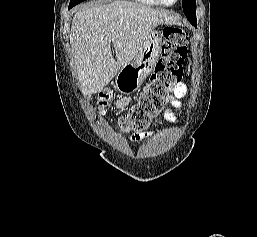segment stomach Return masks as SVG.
Listing matches in <instances>:
<instances>
[{
    "label": "stomach",
    "mask_w": 257,
    "mask_h": 237,
    "mask_svg": "<svg viewBox=\"0 0 257 237\" xmlns=\"http://www.w3.org/2000/svg\"><path fill=\"white\" fill-rule=\"evenodd\" d=\"M162 35L152 31L143 42L133 62L125 64L116 78V87L123 94L137 91L152 71L161 53Z\"/></svg>",
    "instance_id": "0dacf381"
}]
</instances>
